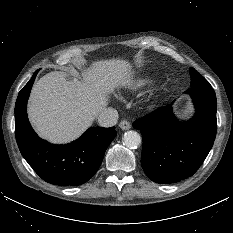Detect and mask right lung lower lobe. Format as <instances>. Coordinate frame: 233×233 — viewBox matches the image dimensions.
Returning <instances> with one entry per match:
<instances>
[{
	"label": "right lung lower lobe",
	"instance_id": "1",
	"mask_svg": "<svg viewBox=\"0 0 233 233\" xmlns=\"http://www.w3.org/2000/svg\"><path fill=\"white\" fill-rule=\"evenodd\" d=\"M37 72L19 92L15 105V135L19 150L46 182L61 186L83 184L100 167L107 147L117 135L115 127L89 128L78 140L66 145H53L38 137L26 111Z\"/></svg>",
	"mask_w": 233,
	"mask_h": 233
}]
</instances>
